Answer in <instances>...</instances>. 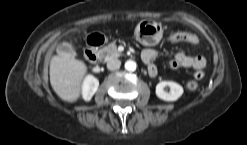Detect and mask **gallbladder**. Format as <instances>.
<instances>
[{"label": "gallbladder", "mask_w": 247, "mask_h": 145, "mask_svg": "<svg viewBox=\"0 0 247 145\" xmlns=\"http://www.w3.org/2000/svg\"><path fill=\"white\" fill-rule=\"evenodd\" d=\"M57 52L61 55H67V56H76V52L74 51L73 47L66 42L60 43L57 46Z\"/></svg>", "instance_id": "gallbladder-1"}]
</instances>
